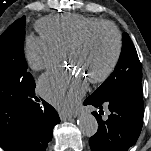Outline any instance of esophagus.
<instances>
[{
	"mask_svg": "<svg viewBox=\"0 0 151 151\" xmlns=\"http://www.w3.org/2000/svg\"><path fill=\"white\" fill-rule=\"evenodd\" d=\"M76 113H71V114H67V113H60L59 116H60V119L62 121H66V120H69L73 117H76Z\"/></svg>",
	"mask_w": 151,
	"mask_h": 151,
	"instance_id": "1",
	"label": "esophagus"
}]
</instances>
